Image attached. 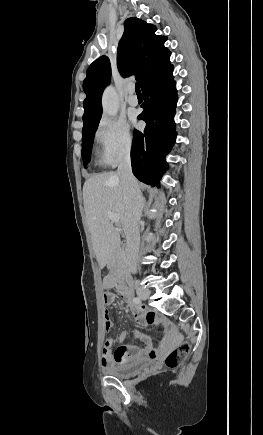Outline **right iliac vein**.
<instances>
[{
    "label": "right iliac vein",
    "mask_w": 263,
    "mask_h": 435,
    "mask_svg": "<svg viewBox=\"0 0 263 435\" xmlns=\"http://www.w3.org/2000/svg\"><path fill=\"white\" fill-rule=\"evenodd\" d=\"M136 291L138 296L142 299H147L150 296V291L146 288L139 287Z\"/></svg>",
    "instance_id": "obj_1"
}]
</instances>
